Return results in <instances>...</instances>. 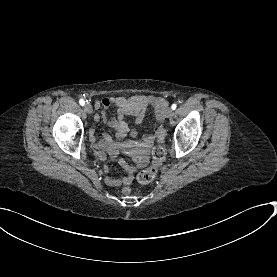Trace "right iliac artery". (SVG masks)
Wrapping results in <instances>:
<instances>
[{
    "label": "right iliac artery",
    "instance_id": "82829eb1",
    "mask_svg": "<svg viewBox=\"0 0 277 277\" xmlns=\"http://www.w3.org/2000/svg\"><path fill=\"white\" fill-rule=\"evenodd\" d=\"M79 103H80V105L83 106V105L85 104V101H84L83 99H80V100H79Z\"/></svg>",
    "mask_w": 277,
    "mask_h": 277
}]
</instances>
